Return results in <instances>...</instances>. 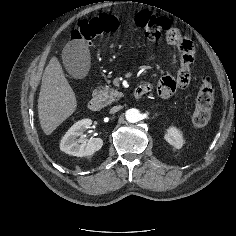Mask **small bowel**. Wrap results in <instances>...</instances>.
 <instances>
[{
  "instance_id": "1",
  "label": "small bowel",
  "mask_w": 236,
  "mask_h": 236,
  "mask_svg": "<svg viewBox=\"0 0 236 236\" xmlns=\"http://www.w3.org/2000/svg\"><path fill=\"white\" fill-rule=\"evenodd\" d=\"M173 44V43H172ZM178 46L180 51L179 58V69L177 76L165 75L160 78L157 83V91L159 95L163 98H168L172 96L178 89L186 88L191 79V65L194 61V47L191 41L184 37V40L180 44H174ZM184 79L188 80L187 84H182ZM144 86L152 88L151 84H145Z\"/></svg>"
}]
</instances>
